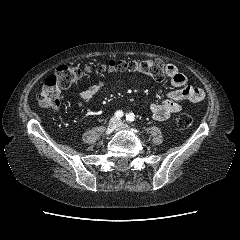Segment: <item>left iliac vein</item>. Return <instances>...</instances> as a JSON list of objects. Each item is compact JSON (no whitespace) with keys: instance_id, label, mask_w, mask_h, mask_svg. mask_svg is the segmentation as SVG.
<instances>
[{"instance_id":"left-iliac-vein-1","label":"left iliac vein","mask_w":240,"mask_h":240,"mask_svg":"<svg viewBox=\"0 0 240 240\" xmlns=\"http://www.w3.org/2000/svg\"><path fill=\"white\" fill-rule=\"evenodd\" d=\"M118 128H125V125L123 122L119 121Z\"/></svg>"}]
</instances>
